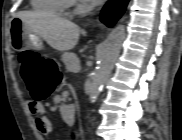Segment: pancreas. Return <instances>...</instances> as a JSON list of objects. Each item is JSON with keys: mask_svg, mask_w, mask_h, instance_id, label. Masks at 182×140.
<instances>
[{"mask_svg": "<svg viewBox=\"0 0 182 140\" xmlns=\"http://www.w3.org/2000/svg\"><path fill=\"white\" fill-rule=\"evenodd\" d=\"M62 61L67 71H75L78 66V58L75 53H65L62 56Z\"/></svg>", "mask_w": 182, "mask_h": 140, "instance_id": "pancreas-1", "label": "pancreas"}]
</instances>
